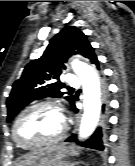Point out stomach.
I'll return each instance as SVG.
<instances>
[{
	"label": "stomach",
	"mask_w": 135,
	"mask_h": 166,
	"mask_svg": "<svg viewBox=\"0 0 135 166\" xmlns=\"http://www.w3.org/2000/svg\"><path fill=\"white\" fill-rule=\"evenodd\" d=\"M74 154L64 145L48 146L33 152L24 166H70L64 159Z\"/></svg>",
	"instance_id": "obj_1"
}]
</instances>
